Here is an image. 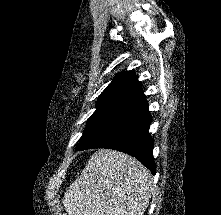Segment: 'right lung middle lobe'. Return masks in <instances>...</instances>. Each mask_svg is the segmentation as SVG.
Listing matches in <instances>:
<instances>
[{"instance_id":"1","label":"right lung middle lobe","mask_w":221,"mask_h":215,"mask_svg":"<svg viewBox=\"0 0 221 215\" xmlns=\"http://www.w3.org/2000/svg\"><path fill=\"white\" fill-rule=\"evenodd\" d=\"M121 119L118 116L92 114L87 121L86 129L80 139L77 150L105 133Z\"/></svg>"}]
</instances>
